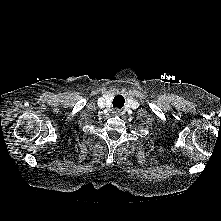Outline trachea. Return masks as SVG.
I'll use <instances>...</instances> for the list:
<instances>
[{"instance_id": "1", "label": "trachea", "mask_w": 221, "mask_h": 221, "mask_svg": "<svg viewBox=\"0 0 221 221\" xmlns=\"http://www.w3.org/2000/svg\"><path fill=\"white\" fill-rule=\"evenodd\" d=\"M124 98L121 95H117L114 99H113V106L114 107H118L121 108L124 105Z\"/></svg>"}]
</instances>
